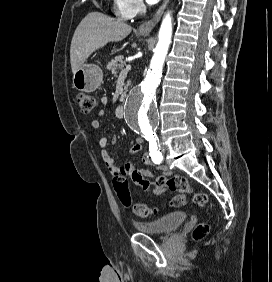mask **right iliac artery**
Returning a JSON list of instances; mask_svg holds the SVG:
<instances>
[{"instance_id":"right-iliac-artery-1","label":"right iliac artery","mask_w":272,"mask_h":282,"mask_svg":"<svg viewBox=\"0 0 272 282\" xmlns=\"http://www.w3.org/2000/svg\"><path fill=\"white\" fill-rule=\"evenodd\" d=\"M160 144L157 141H151L149 142V151L151 154V158L153 160L154 163L156 164H160L163 160V156L160 152Z\"/></svg>"}]
</instances>
